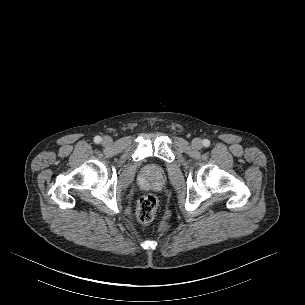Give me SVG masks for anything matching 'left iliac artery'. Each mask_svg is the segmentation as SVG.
Instances as JSON below:
<instances>
[{
    "instance_id": "obj_1",
    "label": "left iliac artery",
    "mask_w": 305,
    "mask_h": 305,
    "mask_svg": "<svg viewBox=\"0 0 305 305\" xmlns=\"http://www.w3.org/2000/svg\"><path fill=\"white\" fill-rule=\"evenodd\" d=\"M203 146L209 147L210 146V141L208 139L203 140Z\"/></svg>"
}]
</instances>
